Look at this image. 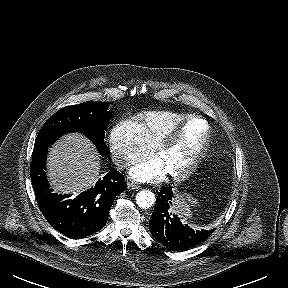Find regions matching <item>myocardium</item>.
<instances>
[{
	"label": "myocardium",
	"mask_w": 288,
	"mask_h": 288,
	"mask_svg": "<svg viewBox=\"0 0 288 288\" xmlns=\"http://www.w3.org/2000/svg\"><path fill=\"white\" fill-rule=\"evenodd\" d=\"M193 120H200L205 123L206 133H205L204 140L201 146L199 147V149L196 151V153L194 154V156L192 157V159L189 161V163L186 166H184L179 171L170 173V177H172L173 179L179 180V179L186 178L197 168L198 164L200 163L201 159L205 155L210 145V140H211L210 123L200 115H189L185 119L173 125L167 132H165L160 137V139L158 140L155 146L156 153L161 154L165 149H167L173 143V141H175L177 135L184 128V126Z\"/></svg>",
	"instance_id": "myocardium-1"
}]
</instances>
